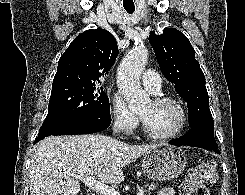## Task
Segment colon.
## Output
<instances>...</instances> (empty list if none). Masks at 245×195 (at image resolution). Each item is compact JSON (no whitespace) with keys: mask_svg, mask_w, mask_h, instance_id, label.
I'll list each match as a JSON object with an SVG mask.
<instances>
[{"mask_svg":"<svg viewBox=\"0 0 245 195\" xmlns=\"http://www.w3.org/2000/svg\"><path fill=\"white\" fill-rule=\"evenodd\" d=\"M217 180L216 163L205 161L198 167L190 170L180 187L181 195H207L206 183Z\"/></svg>","mask_w":245,"mask_h":195,"instance_id":"5ec220e1","label":"colon"}]
</instances>
